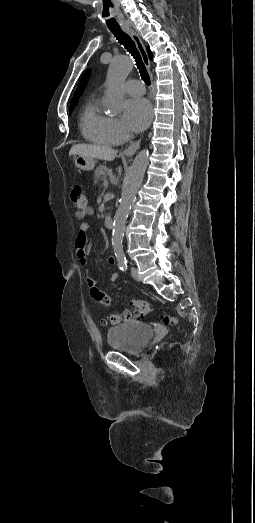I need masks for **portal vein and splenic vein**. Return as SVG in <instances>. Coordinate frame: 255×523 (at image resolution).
Listing matches in <instances>:
<instances>
[{
    "label": "portal vein and splenic vein",
    "mask_w": 255,
    "mask_h": 523,
    "mask_svg": "<svg viewBox=\"0 0 255 523\" xmlns=\"http://www.w3.org/2000/svg\"><path fill=\"white\" fill-rule=\"evenodd\" d=\"M109 183H110V180H109L108 178H105V179L103 180L102 186H103L104 188H107V187L109 186Z\"/></svg>",
    "instance_id": "portal-vein-and-splenic-vein-1"
}]
</instances>
